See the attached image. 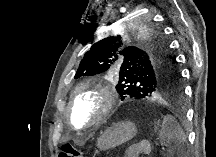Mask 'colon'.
Here are the masks:
<instances>
[{
    "label": "colon",
    "mask_w": 216,
    "mask_h": 157,
    "mask_svg": "<svg viewBox=\"0 0 216 157\" xmlns=\"http://www.w3.org/2000/svg\"><path fill=\"white\" fill-rule=\"evenodd\" d=\"M59 157H81V154L73 146L65 144L60 150Z\"/></svg>",
    "instance_id": "1"
}]
</instances>
